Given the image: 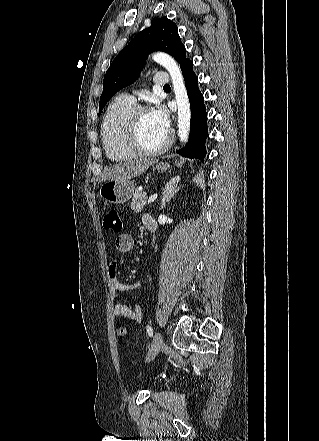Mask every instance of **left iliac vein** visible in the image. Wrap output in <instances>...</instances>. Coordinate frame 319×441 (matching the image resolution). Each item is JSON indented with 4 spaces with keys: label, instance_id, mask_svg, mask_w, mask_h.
<instances>
[{
    "label": "left iliac vein",
    "instance_id": "left-iliac-vein-1",
    "mask_svg": "<svg viewBox=\"0 0 319 441\" xmlns=\"http://www.w3.org/2000/svg\"><path fill=\"white\" fill-rule=\"evenodd\" d=\"M164 342L163 337L160 332H156L153 341L151 344V347L147 353V360L150 361L151 359L155 358V356L159 353L160 349L162 348Z\"/></svg>",
    "mask_w": 319,
    "mask_h": 441
}]
</instances>
